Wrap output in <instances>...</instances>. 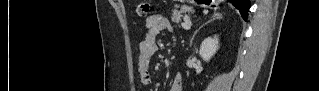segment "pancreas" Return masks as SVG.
Wrapping results in <instances>:
<instances>
[{"label":"pancreas","instance_id":"pancreas-1","mask_svg":"<svg viewBox=\"0 0 319 91\" xmlns=\"http://www.w3.org/2000/svg\"><path fill=\"white\" fill-rule=\"evenodd\" d=\"M191 10L186 6H181L180 10H173L171 20L175 24H179L181 22V18L183 17V14L186 12H190Z\"/></svg>","mask_w":319,"mask_h":91}]
</instances>
